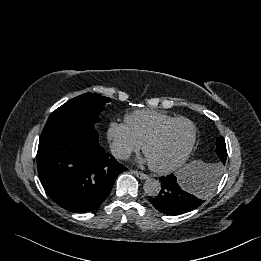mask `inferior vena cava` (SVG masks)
<instances>
[{"label":"inferior vena cava","mask_w":261,"mask_h":261,"mask_svg":"<svg viewBox=\"0 0 261 261\" xmlns=\"http://www.w3.org/2000/svg\"><path fill=\"white\" fill-rule=\"evenodd\" d=\"M113 156L118 159L125 160L130 157L131 151L125 147L113 146L111 148Z\"/></svg>","instance_id":"inferior-vena-cava-1"}]
</instances>
